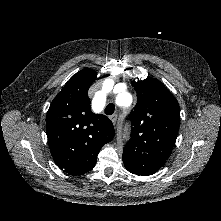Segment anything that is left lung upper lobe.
Wrapping results in <instances>:
<instances>
[{"mask_svg":"<svg viewBox=\"0 0 221 221\" xmlns=\"http://www.w3.org/2000/svg\"><path fill=\"white\" fill-rule=\"evenodd\" d=\"M137 104L129 115L131 138L123 151V162L133 174L147 176L166 162L180 126L179 104L157 79L132 82Z\"/></svg>","mask_w":221,"mask_h":221,"instance_id":"1","label":"left lung upper lobe"}]
</instances>
